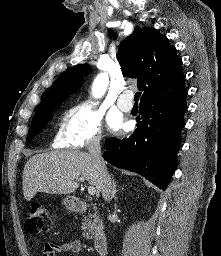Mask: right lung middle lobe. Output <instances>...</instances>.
Masks as SVG:
<instances>
[{
    "label": "right lung middle lobe",
    "instance_id": "obj_1",
    "mask_svg": "<svg viewBox=\"0 0 221 256\" xmlns=\"http://www.w3.org/2000/svg\"><path fill=\"white\" fill-rule=\"evenodd\" d=\"M64 100H66V98H55L39 105L27 135V142H30L35 135L42 131L47 122L51 120L53 113L59 108Z\"/></svg>",
    "mask_w": 221,
    "mask_h": 256
}]
</instances>
